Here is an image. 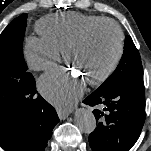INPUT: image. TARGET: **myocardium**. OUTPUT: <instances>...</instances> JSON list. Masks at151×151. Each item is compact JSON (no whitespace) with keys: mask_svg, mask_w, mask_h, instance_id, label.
I'll use <instances>...</instances> for the list:
<instances>
[{"mask_svg":"<svg viewBox=\"0 0 151 151\" xmlns=\"http://www.w3.org/2000/svg\"><path fill=\"white\" fill-rule=\"evenodd\" d=\"M102 26H110L114 29L117 36V51L113 61L108 66V68L101 75L88 81V83L91 85H98L105 82L114 73L122 59L124 52V34L118 23L111 19H104L94 22L91 25L87 26L84 30H82L73 39H71L62 50L64 61L68 63L69 52L80 46L94 30Z\"/></svg>","mask_w":151,"mask_h":151,"instance_id":"myocardium-1","label":"myocardium"}]
</instances>
